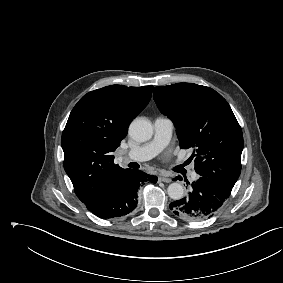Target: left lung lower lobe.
Returning <instances> with one entry per match:
<instances>
[{
    "instance_id": "1",
    "label": "left lung lower lobe",
    "mask_w": 283,
    "mask_h": 283,
    "mask_svg": "<svg viewBox=\"0 0 283 283\" xmlns=\"http://www.w3.org/2000/svg\"><path fill=\"white\" fill-rule=\"evenodd\" d=\"M175 179L182 180L181 176ZM187 181V185H188ZM231 186L208 177H200L191 184L187 196L170 203V210L179 218L201 221L212 217L230 196Z\"/></svg>"
}]
</instances>
